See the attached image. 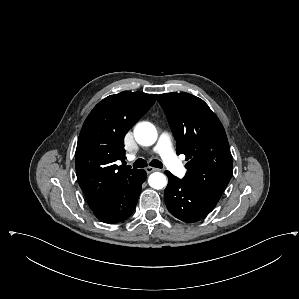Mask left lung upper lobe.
Returning <instances> with one entry per match:
<instances>
[{"instance_id":"1","label":"left lung upper lobe","mask_w":299,"mask_h":299,"mask_svg":"<svg viewBox=\"0 0 299 299\" xmlns=\"http://www.w3.org/2000/svg\"><path fill=\"white\" fill-rule=\"evenodd\" d=\"M177 142V153L190 161L183 181L219 201L233 172L232 156L224 128L200 98L188 93L160 94Z\"/></svg>"}]
</instances>
